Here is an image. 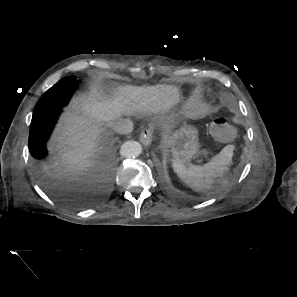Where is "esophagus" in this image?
I'll return each instance as SVG.
<instances>
[{
    "label": "esophagus",
    "mask_w": 297,
    "mask_h": 297,
    "mask_svg": "<svg viewBox=\"0 0 297 297\" xmlns=\"http://www.w3.org/2000/svg\"><path fill=\"white\" fill-rule=\"evenodd\" d=\"M152 137H153V130L150 128H145L142 130L140 134V141L142 142L143 145L149 146L152 142Z\"/></svg>",
    "instance_id": "obj_1"
}]
</instances>
